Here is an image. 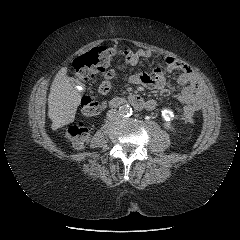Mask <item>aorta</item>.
<instances>
[{
  "instance_id": "762f6f07",
  "label": "aorta",
  "mask_w": 240,
  "mask_h": 240,
  "mask_svg": "<svg viewBox=\"0 0 240 240\" xmlns=\"http://www.w3.org/2000/svg\"><path fill=\"white\" fill-rule=\"evenodd\" d=\"M118 111L122 117H128L132 114V108L128 104L120 106Z\"/></svg>"
}]
</instances>
